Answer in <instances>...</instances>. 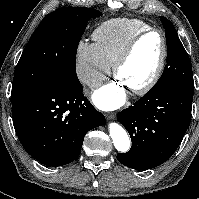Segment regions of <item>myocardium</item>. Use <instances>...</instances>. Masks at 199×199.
<instances>
[{
  "mask_svg": "<svg viewBox=\"0 0 199 199\" xmlns=\"http://www.w3.org/2000/svg\"><path fill=\"white\" fill-rule=\"evenodd\" d=\"M152 33L158 34L161 39L162 51H161L160 59L157 64V67H156L154 73L152 74V76L150 77V79L143 85L129 90L130 94L135 95V96H143V95L147 94L148 92H150L156 86V84L159 82V80L162 76V73H163L165 65H166L167 55H168V43H167V39H166L164 33L160 29L155 28V27H150V28L140 32L126 44V46L123 48V50L120 52V54L117 56V58L115 59V61L113 63V74L118 79L119 71H120L122 65L130 57V55L134 51L137 44L144 37H146Z\"/></svg>",
  "mask_w": 199,
  "mask_h": 199,
  "instance_id": "myocardium-1",
  "label": "myocardium"
}]
</instances>
